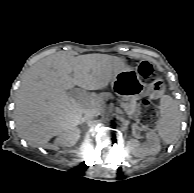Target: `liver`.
I'll return each mask as SVG.
<instances>
[{
  "label": "liver",
  "instance_id": "liver-1",
  "mask_svg": "<svg viewBox=\"0 0 194 193\" xmlns=\"http://www.w3.org/2000/svg\"><path fill=\"white\" fill-rule=\"evenodd\" d=\"M128 67L108 54L72 56L58 52L35 63L24 74L15 98L19 134L33 147L52 148L49 140L82 123L85 103L69 95L78 86L100 90Z\"/></svg>",
  "mask_w": 194,
  "mask_h": 193
}]
</instances>
